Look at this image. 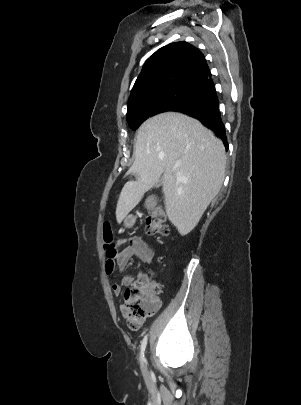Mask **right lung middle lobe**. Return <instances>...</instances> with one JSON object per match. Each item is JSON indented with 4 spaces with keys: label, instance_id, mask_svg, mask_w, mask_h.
Segmentation results:
<instances>
[{
    "label": "right lung middle lobe",
    "instance_id": "dd1d6c3e",
    "mask_svg": "<svg viewBox=\"0 0 301 405\" xmlns=\"http://www.w3.org/2000/svg\"><path fill=\"white\" fill-rule=\"evenodd\" d=\"M213 98V95L193 88H172L138 100L127 111L126 118L129 126L136 130L142 122L156 114L206 104Z\"/></svg>",
    "mask_w": 301,
    "mask_h": 405
}]
</instances>
